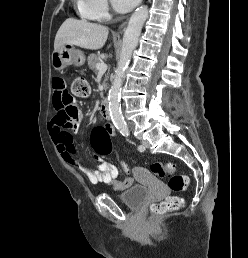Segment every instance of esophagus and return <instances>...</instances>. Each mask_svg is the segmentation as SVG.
<instances>
[{"label":"esophagus","instance_id":"esophagus-1","mask_svg":"<svg viewBox=\"0 0 248 258\" xmlns=\"http://www.w3.org/2000/svg\"><path fill=\"white\" fill-rule=\"evenodd\" d=\"M141 1H143V0H141ZM127 20H128V19H127ZM127 20H126L125 22H123V23L119 26V28H118V32H119V33H121V32L125 29L126 24H127Z\"/></svg>","mask_w":248,"mask_h":258}]
</instances>
